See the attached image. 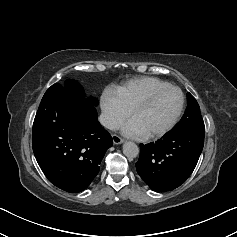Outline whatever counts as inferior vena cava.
Listing matches in <instances>:
<instances>
[{"instance_id":"inferior-vena-cava-1","label":"inferior vena cava","mask_w":237,"mask_h":237,"mask_svg":"<svg viewBox=\"0 0 237 237\" xmlns=\"http://www.w3.org/2000/svg\"><path fill=\"white\" fill-rule=\"evenodd\" d=\"M99 122L102 126L110 130H116L119 128V122L117 121V119L105 113H102L99 116Z\"/></svg>"}]
</instances>
